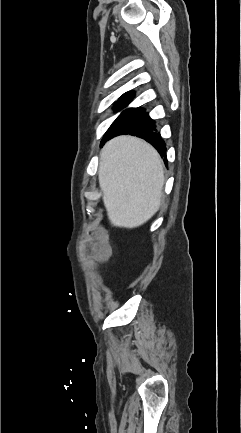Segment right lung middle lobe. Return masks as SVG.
<instances>
[{"label": "right lung middle lobe", "instance_id": "1", "mask_svg": "<svg viewBox=\"0 0 241 433\" xmlns=\"http://www.w3.org/2000/svg\"><path fill=\"white\" fill-rule=\"evenodd\" d=\"M132 97H121L115 105L116 110L125 108L130 102ZM145 112L142 108H130L124 110L119 117L112 123L110 128L107 130L102 142L110 135L122 132L127 129L132 123H134L143 113Z\"/></svg>", "mask_w": 241, "mask_h": 433}]
</instances>
